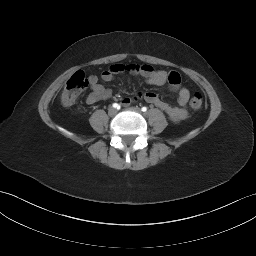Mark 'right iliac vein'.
Instances as JSON below:
<instances>
[{"instance_id":"obj_1","label":"right iliac vein","mask_w":256,"mask_h":256,"mask_svg":"<svg viewBox=\"0 0 256 256\" xmlns=\"http://www.w3.org/2000/svg\"><path fill=\"white\" fill-rule=\"evenodd\" d=\"M116 114H117V110L115 108H113V107L109 108V110H108V115L109 116L113 117Z\"/></svg>"}]
</instances>
